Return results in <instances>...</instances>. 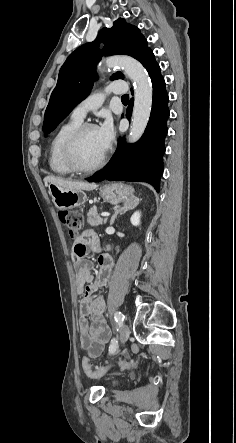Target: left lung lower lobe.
<instances>
[{
	"label": "left lung lower lobe",
	"instance_id": "1",
	"mask_svg": "<svg viewBox=\"0 0 236 443\" xmlns=\"http://www.w3.org/2000/svg\"><path fill=\"white\" fill-rule=\"evenodd\" d=\"M142 65L147 69L153 85L152 110L145 133L131 145L119 138V147L109 165L88 178L89 182L109 181L147 182L159 192V180L163 171L164 139L169 117L168 95L160 67L152 50ZM134 100L131 99L126 117L130 119Z\"/></svg>",
	"mask_w": 236,
	"mask_h": 443
}]
</instances>
